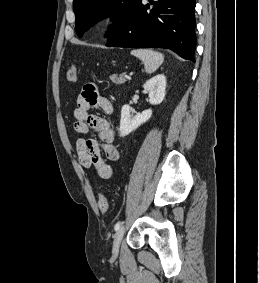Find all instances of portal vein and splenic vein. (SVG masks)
Instances as JSON below:
<instances>
[{"label":"portal vein and splenic vein","mask_w":259,"mask_h":283,"mask_svg":"<svg viewBox=\"0 0 259 283\" xmlns=\"http://www.w3.org/2000/svg\"><path fill=\"white\" fill-rule=\"evenodd\" d=\"M125 78H127V79H131V77L129 76V75H125Z\"/></svg>","instance_id":"1"}]
</instances>
